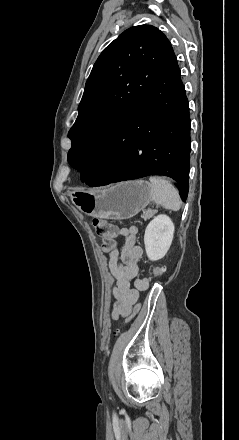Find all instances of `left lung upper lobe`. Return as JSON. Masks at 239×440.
Returning a JSON list of instances; mask_svg holds the SVG:
<instances>
[{"mask_svg":"<svg viewBox=\"0 0 239 440\" xmlns=\"http://www.w3.org/2000/svg\"><path fill=\"white\" fill-rule=\"evenodd\" d=\"M173 53L166 36L151 25L131 27L106 47L93 66L68 133L73 168L81 172L93 160Z\"/></svg>","mask_w":239,"mask_h":440,"instance_id":"1","label":"left lung upper lobe"}]
</instances>
